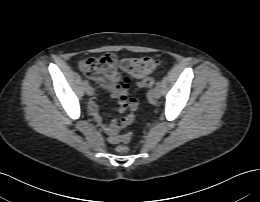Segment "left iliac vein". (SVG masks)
Returning a JSON list of instances; mask_svg holds the SVG:
<instances>
[{"mask_svg": "<svg viewBox=\"0 0 260 202\" xmlns=\"http://www.w3.org/2000/svg\"><path fill=\"white\" fill-rule=\"evenodd\" d=\"M150 98L158 99L160 97V89L155 87L149 92Z\"/></svg>", "mask_w": 260, "mask_h": 202, "instance_id": "left-iliac-vein-1", "label": "left iliac vein"}]
</instances>
